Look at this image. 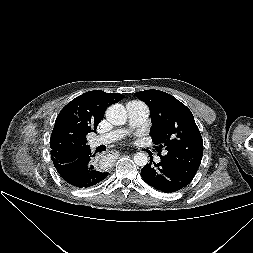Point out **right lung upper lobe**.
<instances>
[{
	"mask_svg": "<svg viewBox=\"0 0 253 253\" xmlns=\"http://www.w3.org/2000/svg\"><path fill=\"white\" fill-rule=\"evenodd\" d=\"M100 90L84 93L68 103L56 118L50 139L53 163L71 162L90 151L86 135L96 132L108 106L123 99Z\"/></svg>",
	"mask_w": 253,
	"mask_h": 253,
	"instance_id": "right-lung-upper-lobe-1",
	"label": "right lung upper lobe"
}]
</instances>
